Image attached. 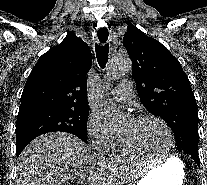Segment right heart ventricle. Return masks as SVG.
Wrapping results in <instances>:
<instances>
[{
    "instance_id": "obj_1",
    "label": "right heart ventricle",
    "mask_w": 207,
    "mask_h": 185,
    "mask_svg": "<svg viewBox=\"0 0 207 185\" xmlns=\"http://www.w3.org/2000/svg\"><path fill=\"white\" fill-rule=\"evenodd\" d=\"M106 155L113 161L123 162L141 158L131 154L125 147L121 137H118L105 151Z\"/></svg>"
}]
</instances>
